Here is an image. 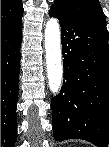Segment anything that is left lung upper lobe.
I'll list each match as a JSON object with an SVG mask.
<instances>
[{"label":"left lung upper lobe","instance_id":"obj_1","mask_svg":"<svg viewBox=\"0 0 109 147\" xmlns=\"http://www.w3.org/2000/svg\"><path fill=\"white\" fill-rule=\"evenodd\" d=\"M55 7L77 20L108 34L106 18L98 0H55ZM65 78V83L71 93H76L81 87L79 72H71Z\"/></svg>","mask_w":109,"mask_h":147}]
</instances>
